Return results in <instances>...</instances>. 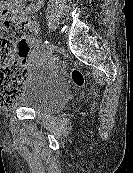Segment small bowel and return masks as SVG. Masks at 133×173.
I'll return each instance as SVG.
<instances>
[{
  "instance_id": "small-bowel-1",
  "label": "small bowel",
  "mask_w": 133,
  "mask_h": 173,
  "mask_svg": "<svg viewBox=\"0 0 133 173\" xmlns=\"http://www.w3.org/2000/svg\"><path fill=\"white\" fill-rule=\"evenodd\" d=\"M39 31V25L36 22L31 23V33L36 34ZM28 44L31 47L26 60L24 61V66L26 68H32L42 61L44 53L40 49V41L33 36L28 38Z\"/></svg>"
}]
</instances>
